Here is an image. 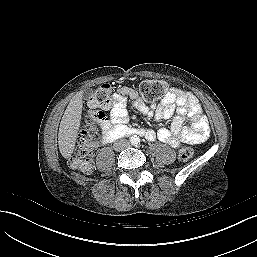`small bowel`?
<instances>
[{
	"label": "small bowel",
	"mask_w": 257,
	"mask_h": 257,
	"mask_svg": "<svg viewBox=\"0 0 257 257\" xmlns=\"http://www.w3.org/2000/svg\"><path fill=\"white\" fill-rule=\"evenodd\" d=\"M132 101L133 108L144 116L156 120L172 119L169 129L161 128L157 132L146 130L148 140L158 138L174 148L182 144H196L204 142L210 134V127L206 116L202 113L197 98L181 88H170L154 107L148 106L138 92L129 87L119 88L113 100L110 117L101 125V143L108 142V133L116 127L123 126L128 121L126 99ZM190 119V125H185V118Z\"/></svg>",
	"instance_id": "c3829d8e"
}]
</instances>
